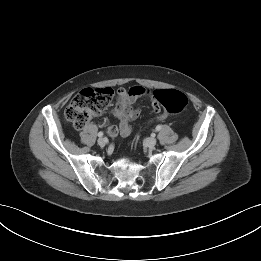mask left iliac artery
Returning <instances> with one entry per match:
<instances>
[{
    "mask_svg": "<svg viewBox=\"0 0 261 261\" xmlns=\"http://www.w3.org/2000/svg\"><path fill=\"white\" fill-rule=\"evenodd\" d=\"M161 128H162V126H161V125H157V126H156V131H160V130H161Z\"/></svg>",
    "mask_w": 261,
    "mask_h": 261,
    "instance_id": "left-iliac-artery-1",
    "label": "left iliac artery"
}]
</instances>
